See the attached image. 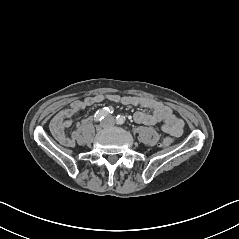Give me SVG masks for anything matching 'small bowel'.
Here are the masks:
<instances>
[{
  "instance_id": "1",
  "label": "small bowel",
  "mask_w": 239,
  "mask_h": 239,
  "mask_svg": "<svg viewBox=\"0 0 239 239\" xmlns=\"http://www.w3.org/2000/svg\"><path fill=\"white\" fill-rule=\"evenodd\" d=\"M122 103L131 106H140L150 109L151 112L137 111L133 115L135 122L147 126L161 125V130L174 137L182 135L184 123L172 109L164 103L152 98L139 96H120L118 94H94L83 100H77L70 104L66 109L58 112L51 121L50 129L53 136L63 145L73 147L76 143L77 133L67 135L65 129L69 127L77 113L86 106H91L103 101Z\"/></svg>"
}]
</instances>
